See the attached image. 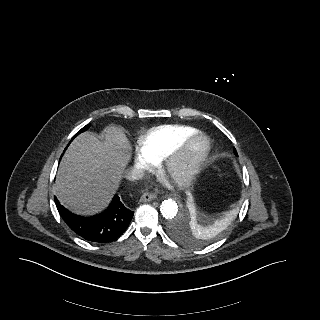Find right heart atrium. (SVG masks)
Instances as JSON below:
<instances>
[{"label": "right heart atrium", "mask_w": 320, "mask_h": 320, "mask_svg": "<svg viewBox=\"0 0 320 320\" xmlns=\"http://www.w3.org/2000/svg\"><path fill=\"white\" fill-rule=\"evenodd\" d=\"M133 163L135 167L140 170H149L154 165V162L144 156L140 151L135 154Z\"/></svg>", "instance_id": "right-heart-atrium-1"}]
</instances>
